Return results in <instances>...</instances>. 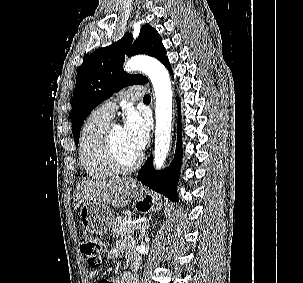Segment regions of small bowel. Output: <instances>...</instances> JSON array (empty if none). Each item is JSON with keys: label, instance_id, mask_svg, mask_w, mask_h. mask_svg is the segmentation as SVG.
Wrapping results in <instances>:
<instances>
[{"label": "small bowel", "instance_id": "1", "mask_svg": "<svg viewBox=\"0 0 303 283\" xmlns=\"http://www.w3.org/2000/svg\"><path fill=\"white\" fill-rule=\"evenodd\" d=\"M126 254V256L131 260H137L138 255L134 249V242L131 238H124L118 241L115 246L107 253V259H116L119 256ZM90 279L94 280L98 276L97 271H92L89 274ZM132 276L130 273H124L117 278H115L114 283H131Z\"/></svg>", "mask_w": 303, "mask_h": 283}]
</instances>
